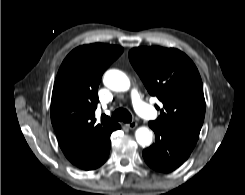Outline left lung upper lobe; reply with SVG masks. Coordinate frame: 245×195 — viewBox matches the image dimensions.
Masks as SVG:
<instances>
[{"mask_svg":"<svg viewBox=\"0 0 245 195\" xmlns=\"http://www.w3.org/2000/svg\"><path fill=\"white\" fill-rule=\"evenodd\" d=\"M129 59L148 92L163 104L161 115L149 125L198 139L205 99L201 77L191 59L178 49L162 47L133 48Z\"/></svg>","mask_w":245,"mask_h":195,"instance_id":"left-lung-upper-lobe-1","label":"left lung upper lobe"}]
</instances>
